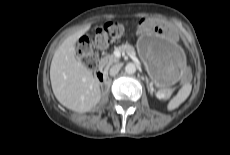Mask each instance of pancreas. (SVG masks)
<instances>
[{
	"mask_svg": "<svg viewBox=\"0 0 230 155\" xmlns=\"http://www.w3.org/2000/svg\"><path fill=\"white\" fill-rule=\"evenodd\" d=\"M119 49L121 51H125L127 52L128 54H135V51H134V48L133 47H128L126 45H121L119 47ZM119 62V59L116 58L114 55L112 54H109V55H106L105 57H103L100 61H99V65L100 67L104 68L105 71H107L110 66H112L113 64L115 63H118ZM170 95V93L166 92L165 93V97H168Z\"/></svg>",
	"mask_w": 230,
	"mask_h": 155,
	"instance_id": "obj_1",
	"label": "pancreas"
}]
</instances>
